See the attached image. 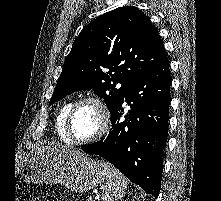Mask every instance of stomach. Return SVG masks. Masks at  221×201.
I'll return each instance as SVG.
<instances>
[{
  "instance_id": "1",
  "label": "stomach",
  "mask_w": 221,
  "mask_h": 201,
  "mask_svg": "<svg viewBox=\"0 0 221 201\" xmlns=\"http://www.w3.org/2000/svg\"><path fill=\"white\" fill-rule=\"evenodd\" d=\"M22 178L26 182L61 184L74 192H87L104 180L102 167L78 151L57 152L48 148L31 153L25 160Z\"/></svg>"
}]
</instances>
